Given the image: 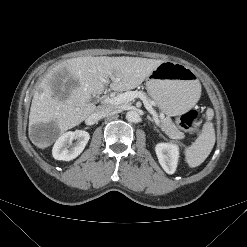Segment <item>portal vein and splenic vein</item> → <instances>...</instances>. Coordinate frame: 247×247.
<instances>
[{
  "mask_svg": "<svg viewBox=\"0 0 247 247\" xmlns=\"http://www.w3.org/2000/svg\"><path fill=\"white\" fill-rule=\"evenodd\" d=\"M134 98H140L143 101L145 108L153 116L155 123L158 126H160V120L158 118L156 111L154 110L152 105L147 101L146 97L141 92L128 91V92L122 93L118 96H115L113 98L104 97L102 100V103L110 104V105H119L122 103L132 101Z\"/></svg>",
  "mask_w": 247,
  "mask_h": 247,
  "instance_id": "1",
  "label": "portal vein and splenic vein"
}]
</instances>
